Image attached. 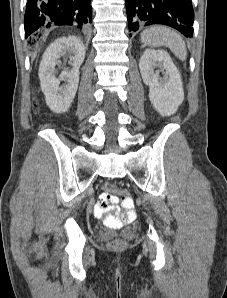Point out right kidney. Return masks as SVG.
<instances>
[{
	"instance_id": "1",
	"label": "right kidney",
	"mask_w": 227,
	"mask_h": 298,
	"mask_svg": "<svg viewBox=\"0 0 227 298\" xmlns=\"http://www.w3.org/2000/svg\"><path fill=\"white\" fill-rule=\"evenodd\" d=\"M71 57L70 71L63 70L59 78L55 76L56 65L60 59ZM85 58L83 42L76 36L61 37L56 39L46 49L39 66L41 89L45 95L48 107L55 113H64L70 107L79 83V68ZM67 84L59 86L60 81Z\"/></svg>"
}]
</instances>
